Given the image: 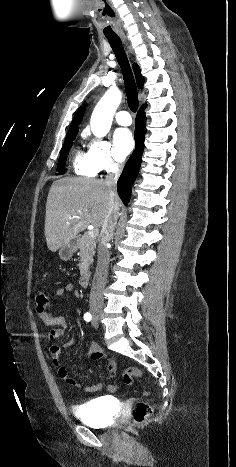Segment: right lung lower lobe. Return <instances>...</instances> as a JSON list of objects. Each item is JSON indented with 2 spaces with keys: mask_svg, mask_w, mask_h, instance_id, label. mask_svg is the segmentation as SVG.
I'll use <instances>...</instances> for the list:
<instances>
[{
  "mask_svg": "<svg viewBox=\"0 0 236 467\" xmlns=\"http://www.w3.org/2000/svg\"><path fill=\"white\" fill-rule=\"evenodd\" d=\"M145 107L146 105L140 108L135 119V151L127 161L117 183L118 194L124 205H127L130 200L131 188L141 165V157L144 148V136L146 134V117L144 114Z\"/></svg>",
  "mask_w": 236,
  "mask_h": 467,
  "instance_id": "98d812e1",
  "label": "right lung lower lobe"
}]
</instances>
